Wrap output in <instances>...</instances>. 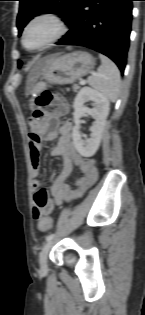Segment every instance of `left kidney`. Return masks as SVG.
I'll return each mask as SVG.
<instances>
[{
	"instance_id": "5707ae66",
	"label": "left kidney",
	"mask_w": 145,
	"mask_h": 315,
	"mask_svg": "<svg viewBox=\"0 0 145 315\" xmlns=\"http://www.w3.org/2000/svg\"><path fill=\"white\" fill-rule=\"evenodd\" d=\"M89 100L94 102L92 109L84 106V103ZM109 105V100L103 94L89 87H83L75 97L73 103L75 125L72 130V138L80 155L91 157L98 150L109 114ZM84 114H89L95 119L91 127L90 138L87 140H83L80 134V119Z\"/></svg>"
}]
</instances>
